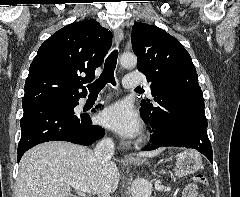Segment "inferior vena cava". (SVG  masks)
I'll return each mask as SVG.
<instances>
[{
  "label": "inferior vena cava",
  "mask_w": 240,
  "mask_h": 197,
  "mask_svg": "<svg viewBox=\"0 0 240 197\" xmlns=\"http://www.w3.org/2000/svg\"><path fill=\"white\" fill-rule=\"evenodd\" d=\"M94 154L99 162H108L114 154L113 140L111 138H103L97 143ZM98 197H110V194L102 193Z\"/></svg>",
  "instance_id": "1"
}]
</instances>
